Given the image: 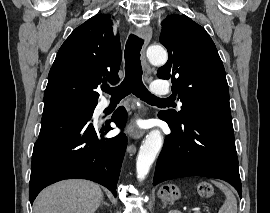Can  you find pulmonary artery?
<instances>
[{"label": "pulmonary artery", "mask_w": 270, "mask_h": 213, "mask_svg": "<svg viewBox=\"0 0 270 213\" xmlns=\"http://www.w3.org/2000/svg\"><path fill=\"white\" fill-rule=\"evenodd\" d=\"M152 93L155 96L168 95L170 93V86L166 81H155L152 84ZM179 104L181 103L179 102ZM105 106H108V103Z\"/></svg>", "instance_id": "obj_1"}]
</instances>
